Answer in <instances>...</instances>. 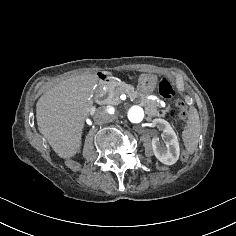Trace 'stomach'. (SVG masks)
Returning a JSON list of instances; mask_svg holds the SVG:
<instances>
[{"instance_id":"obj_1","label":"stomach","mask_w":236,"mask_h":236,"mask_svg":"<svg viewBox=\"0 0 236 236\" xmlns=\"http://www.w3.org/2000/svg\"><path fill=\"white\" fill-rule=\"evenodd\" d=\"M158 77L154 73H142L138 79V88L142 92L152 93L156 88Z\"/></svg>"}]
</instances>
